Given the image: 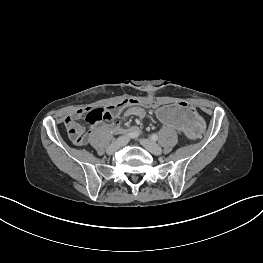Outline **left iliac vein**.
<instances>
[{"instance_id":"obj_1","label":"left iliac vein","mask_w":263,"mask_h":263,"mask_svg":"<svg viewBox=\"0 0 263 263\" xmlns=\"http://www.w3.org/2000/svg\"><path fill=\"white\" fill-rule=\"evenodd\" d=\"M140 142L152 154L154 155L162 154V148L154 141L150 139H141Z\"/></svg>"}]
</instances>
